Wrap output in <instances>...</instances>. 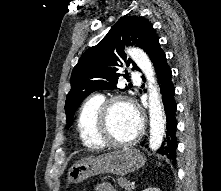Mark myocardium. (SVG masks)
I'll list each match as a JSON object with an SVG mask.
<instances>
[{
    "mask_svg": "<svg viewBox=\"0 0 221 191\" xmlns=\"http://www.w3.org/2000/svg\"><path fill=\"white\" fill-rule=\"evenodd\" d=\"M117 104H125L131 107L138 115L139 127L134 136L126 141H118L112 138L110 131V115L112 108ZM144 133V119L136 102L125 95H115L105 100L99 108L97 117V134L101 144L105 147L123 148L134 145Z\"/></svg>",
    "mask_w": 221,
    "mask_h": 191,
    "instance_id": "f54148a6",
    "label": "myocardium"
}]
</instances>
